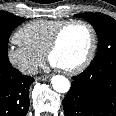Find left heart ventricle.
I'll return each instance as SVG.
<instances>
[{
    "label": "left heart ventricle",
    "instance_id": "1",
    "mask_svg": "<svg viewBox=\"0 0 116 116\" xmlns=\"http://www.w3.org/2000/svg\"><path fill=\"white\" fill-rule=\"evenodd\" d=\"M90 44L91 35L85 26H69L62 34L57 49L51 54L50 61L60 69L73 68L85 59Z\"/></svg>",
    "mask_w": 116,
    "mask_h": 116
}]
</instances>
